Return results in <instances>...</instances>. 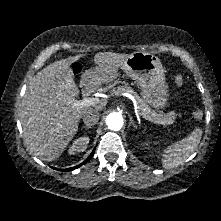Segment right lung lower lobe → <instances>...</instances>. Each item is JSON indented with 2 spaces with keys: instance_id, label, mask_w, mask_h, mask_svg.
<instances>
[{
  "instance_id": "right-lung-lower-lobe-1",
  "label": "right lung lower lobe",
  "mask_w": 221,
  "mask_h": 221,
  "mask_svg": "<svg viewBox=\"0 0 221 221\" xmlns=\"http://www.w3.org/2000/svg\"><path fill=\"white\" fill-rule=\"evenodd\" d=\"M94 151H95V150L92 151V153L90 154V156L88 157V159H87L86 161L82 162L81 164H79V165H77V166H74L73 168L63 169L62 171L74 170V169H76V168H78V167L84 165L88 160H90V159L93 157ZM53 169H56V168L53 167ZM57 170H58V169H57Z\"/></svg>"
}]
</instances>
